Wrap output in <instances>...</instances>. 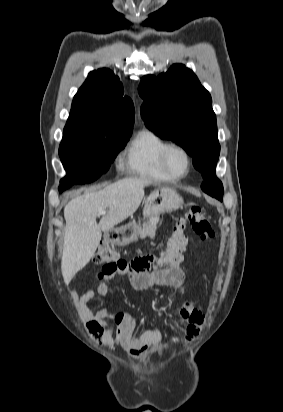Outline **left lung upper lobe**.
Returning a JSON list of instances; mask_svg holds the SVG:
<instances>
[{
	"mask_svg": "<svg viewBox=\"0 0 283 412\" xmlns=\"http://www.w3.org/2000/svg\"><path fill=\"white\" fill-rule=\"evenodd\" d=\"M138 90L145 100L141 115L146 127L158 137L181 145L202 173L204 192L222 201L223 185L213 179L220 145L209 92L182 64L172 65L156 78L144 76Z\"/></svg>",
	"mask_w": 283,
	"mask_h": 412,
	"instance_id": "1",
	"label": "left lung upper lobe"
}]
</instances>
